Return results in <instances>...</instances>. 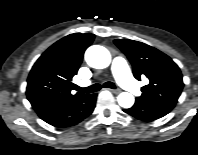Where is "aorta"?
I'll use <instances>...</instances> for the list:
<instances>
[{
    "mask_svg": "<svg viewBox=\"0 0 198 155\" xmlns=\"http://www.w3.org/2000/svg\"><path fill=\"white\" fill-rule=\"evenodd\" d=\"M85 60L87 64L96 69H104L110 65V52L103 46H90L85 52ZM118 104L123 108H131L135 102V98L131 93L122 92L117 97Z\"/></svg>",
    "mask_w": 198,
    "mask_h": 155,
    "instance_id": "aorta-1",
    "label": "aorta"
}]
</instances>
